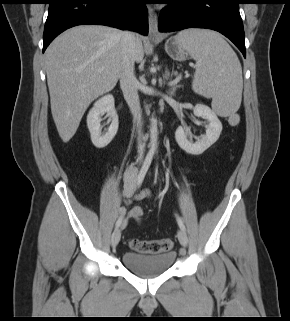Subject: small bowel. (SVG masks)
Segmentation results:
<instances>
[{
	"instance_id": "1",
	"label": "small bowel",
	"mask_w": 290,
	"mask_h": 321,
	"mask_svg": "<svg viewBox=\"0 0 290 321\" xmlns=\"http://www.w3.org/2000/svg\"><path fill=\"white\" fill-rule=\"evenodd\" d=\"M125 195L127 197V202L128 203L131 202L132 192H130L129 190H127L125 188ZM148 196H149V192L144 190V191L140 192L138 195H136L134 198L135 199H142V198H145V197H148ZM122 211H125V209H122L121 212Z\"/></svg>"
}]
</instances>
